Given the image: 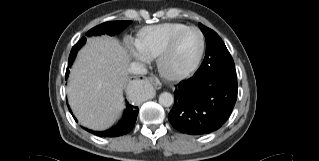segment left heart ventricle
Masks as SVG:
<instances>
[{
    "label": "left heart ventricle",
    "instance_id": "obj_1",
    "mask_svg": "<svg viewBox=\"0 0 319 161\" xmlns=\"http://www.w3.org/2000/svg\"><path fill=\"white\" fill-rule=\"evenodd\" d=\"M200 48L198 32L191 30L185 32L177 40L167 59V66L176 71L188 68L195 60Z\"/></svg>",
    "mask_w": 319,
    "mask_h": 161
}]
</instances>
